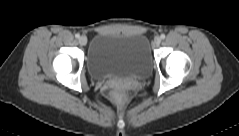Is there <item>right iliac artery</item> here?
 <instances>
[{"label":"right iliac artery","mask_w":239,"mask_h":136,"mask_svg":"<svg viewBox=\"0 0 239 136\" xmlns=\"http://www.w3.org/2000/svg\"><path fill=\"white\" fill-rule=\"evenodd\" d=\"M75 37H76V38H79V37H80V34H78V33L75 34Z\"/></svg>","instance_id":"82829eb1"}]
</instances>
